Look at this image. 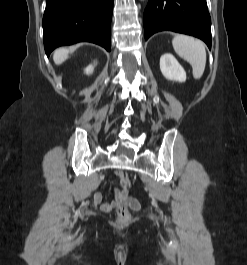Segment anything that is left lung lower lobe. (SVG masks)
Instances as JSON below:
<instances>
[{
	"label": "left lung lower lobe",
	"instance_id": "0a47b994",
	"mask_svg": "<svg viewBox=\"0 0 247 265\" xmlns=\"http://www.w3.org/2000/svg\"><path fill=\"white\" fill-rule=\"evenodd\" d=\"M164 30L195 36L211 48L206 0H149L144 11L145 40Z\"/></svg>",
	"mask_w": 247,
	"mask_h": 265
}]
</instances>
